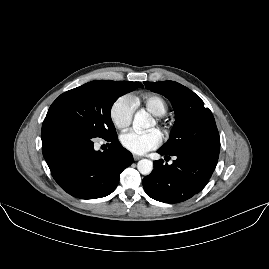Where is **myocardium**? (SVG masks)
<instances>
[{
	"mask_svg": "<svg viewBox=\"0 0 269 269\" xmlns=\"http://www.w3.org/2000/svg\"><path fill=\"white\" fill-rule=\"evenodd\" d=\"M160 127L165 133H168V125L165 122H160Z\"/></svg>",
	"mask_w": 269,
	"mask_h": 269,
	"instance_id": "myocardium-1",
	"label": "myocardium"
}]
</instances>
